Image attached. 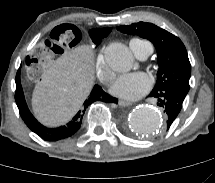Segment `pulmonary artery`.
<instances>
[{"instance_id": "1", "label": "pulmonary artery", "mask_w": 215, "mask_h": 183, "mask_svg": "<svg viewBox=\"0 0 215 183\" xmlns=\"http://www.w3.org/2000/svg\"><path fill=\"white\" fill-rule=\"evenodd\" d=\"M130 48L135 53V55L141 60H145L153 51L152 45L147 42L145 43L131 42Z\"/></svg>"}]
</instances>
